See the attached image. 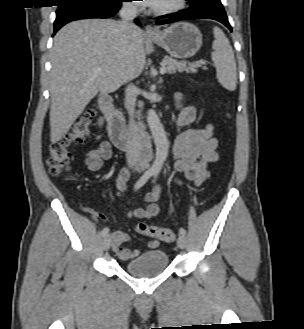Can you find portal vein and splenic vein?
Listing matches in <instances>:
<instances>
[{"mask_svg": "<svg viewBox=\"0 0 304 329\" xmlns=\"http://www.w3.org/2000/svg\"><path fill=\"white\" fill-rule=\"evenodd\" d=\"M94 71L95 72H99V71H101V69L99 68V67H95L94 68ZM166 72V67L163 65L162 67H161V69H160V73L161 74H164Z\"/></svg>", "mask_w": 304, "mask_h": 329, "instance_id": "1", "label": "portal vein and splenic vein"}]
</instances>
